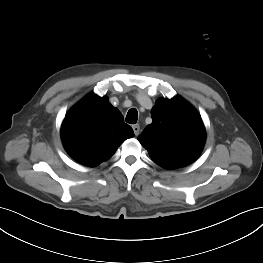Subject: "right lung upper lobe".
Returning <instances> with one entry per match:
<instances>
[{
    "mask_svg": "<svg viewBox=\"0 0 263 263\" xmlns=\"http://www.w3.org/2000/svg\"><path fill=\"white\" fill-rule=\"evenodd\" d=\"M134 135L108 98L89 94L65 116L61 138L68 154L81 164L94 167L107 161L117 148Z\"/></svg>",
    "mask_w": 263,
    "mask_h": 263,
    "instance_id": "obj_1",
    "label": "right lung upper lobe"
}]
</instances>
